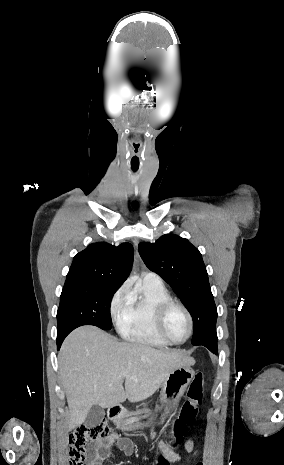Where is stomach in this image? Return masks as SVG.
Segmentation results:
<instances>
[{
    "mask_svg": "<svg viewBox=\"0 0 284 465\" xmlns=\"http://www.w3.org/2000/svg\"><path fill=\"white\" fill-rule=\"evenodd\" d=\"M194 377L191 367H179L174 369L170 375L165 377L160 391L162 417H168L176 409L181 397H183L188 385ZM157 415L150 409H139V411H123L120 415L113 417L115 425L121 431H137L143 427H151L156 421Z\"/></svg>",
    "mask_w": 284,
    "mask_h": 465,
    "instance_id": "obj_1",
    "label": "stomach"
}]
</instances>
